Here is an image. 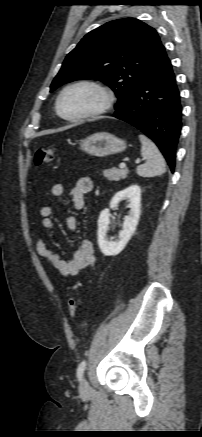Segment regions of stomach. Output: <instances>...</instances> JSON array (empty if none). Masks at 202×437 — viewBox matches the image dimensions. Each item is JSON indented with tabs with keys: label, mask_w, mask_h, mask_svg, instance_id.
I'll list each match as a JSON object with an SVG mask.
<instances>
[{
	"label": "stomach",
	"mask_w": 202,
	"mask_h": 437,
	"mask_svg": "<svg viewBox=\"0 0 202 437\" xmlns=\"http://www.w3.org/2000/svg\"><path fill=\"white\" fill-rule=\"evenodd\" d=\"M126 148L127 144L124 140L107 132L92 134L80 143L82 151L97 157L117 154L123 152Z\"/></svg>",
	"instance_id": "obj_1"
}]
</instances>
